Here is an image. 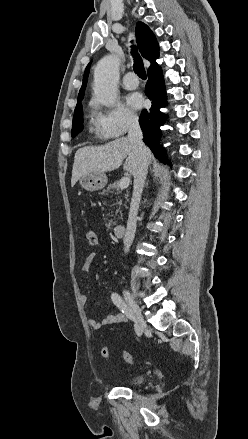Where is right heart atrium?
<instances>
[{
    "label": "right heart atrium",
    "instance_id": "d8ad5b80",
    "mask_svg": "<svg viewBox=\"0 0 248 439\" xmlns=\"http://www.w3.org/2000/svg\"><path fill=\"white\" fill-rule=\"evenodd\" d=\"M93 117L96 133L104 139L121 137L138 123L136 113L120 102L107 108L95 105Z\"/></svg>",
    "mask_w": 248,
    "mask_h": 439
}]
</instances>
